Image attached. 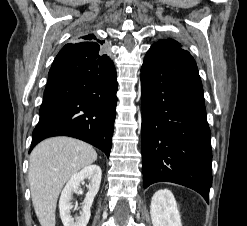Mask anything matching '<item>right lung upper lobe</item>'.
Returning <instances> with one entry per match:
<instances>
[{
	"label": "right lung upper lobe",
	"instance_id": "right-lung-upper-lobe-1",
	"mask_svg": "<svg viewBox=\"0 0 247 226\" xmlns=\"http://www.w3.org/2000/svg\"><path fill=\"white\" fill-rule=\"evenodd\" d=\"M80 39L87 43H99L101 46H103L104 40H99L94 34H87L80 36Z\"/></svg>",
	"mask_w": 247,
	"mask_h": 226
}]
</instances>
